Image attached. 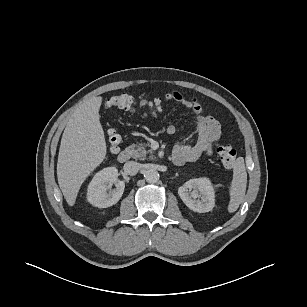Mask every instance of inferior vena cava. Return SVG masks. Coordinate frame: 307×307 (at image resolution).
I'll return each mask as SVG.
<instances>
[{"label": "inferior vena cava", "mask_w": 307, "mask_h": 307, "mask_svg": "<svg viewBox=\"0 0 307 307\" xmlns=\"http://www.w3.org/2000/svg\"><path fill=\"white\" fill-rule=\"evenodd\" d=\"M141 169V164L135 161H129L124 165V171L129 175H136Z\"/></svg>", "instance_id": "obj_1"}]
</instances>
